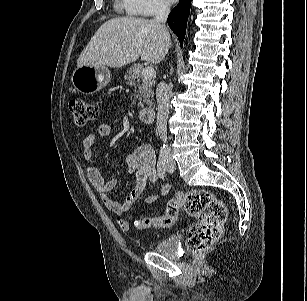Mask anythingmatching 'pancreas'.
Wrapping results in <instances>:
<instances>
[{"label":"pancreas","instance_id":"cf45deb5","mask_svg":"<svg viewBox=\"0 0 307 301\" xmlns=\"http://www.w3.org/2000/svg\"><path fill=\"white\" fill-rule=\"evenodd\" d=\"M143 66L141 64H133L127 69L124 76L126 84L133 86L136 89V99H138V106L143 107L146 103L147 105L152 104L153 90L152 86L155 83V78H145L142 75Z\"/></svg>","mask_w":307,"mask_h":301}]
</instances>
